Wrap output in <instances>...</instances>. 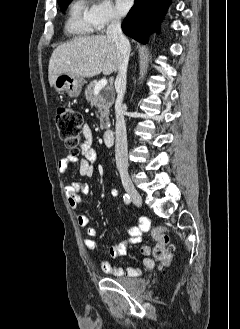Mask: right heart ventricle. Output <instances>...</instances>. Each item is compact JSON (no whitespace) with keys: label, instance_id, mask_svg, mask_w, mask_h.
I'll list each match as a JSON object with an SVG mask.
<instances>
[{"label":"right heart ventricle","instance_id":"right-heart-ventricle-1","mask_svg":"<svg viewBox=\"0 0 240 329\" xmlns=\"http://www.w3.org/2000/svg\"><path fill=\"white\" fill-rule=\"evenodd\" d=\"M90 7L86 0H74L68 10L65 31L75 37L90 35L94 28L89 16Z\"/></svg>","mask_w":240,"mask_h":329}]
</instances>
